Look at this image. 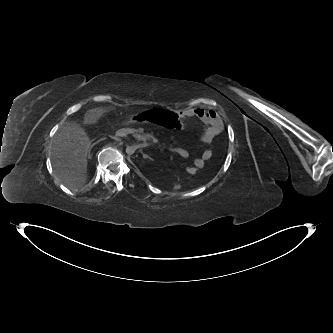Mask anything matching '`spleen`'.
<instances>
[{
	"label": "spleen",
	"instance_id": "1",
	"mask_svg": "<svg viewBox=\"0 0 333 333\" xmlns=\"http://www.w3.org/2000/svg\"><path fill=\"white\" fill-rule=\"evenodd\" d=\"M180 187H181L180 184H176V185L174 186V189L177 190V189H180Z\"/></svg>",
	"mask_w": 333,
	"mask_h": 333
}]
</instances>
